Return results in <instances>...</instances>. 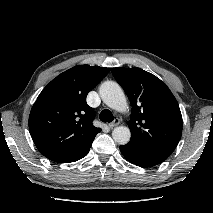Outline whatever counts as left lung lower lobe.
Segmentation results:
<instances>
[{"label":"left lung lower lobe","instance_id":"obj_1","mask_svg":"<svg viewBox=\"0 0 213 213\" xmlns=\"http://www.w3.org/2000/svg\"><path fill=\"white\" fill-rule=\"evenodd\" d=\"M121 153L131 163L141 167H152L162 163L169 156L146 150L135 143L129 142L120 146Z\"/></svg>","mask_w":213,"mask_h":213}]
</instances>
